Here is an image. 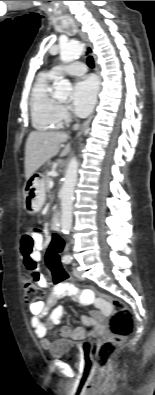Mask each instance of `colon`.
Returning <instances> with one entry per match:
<instances>
[{"label": "colon", "mask_w": 155, "mask_h": 395, "mask_svg": "<svg viewBox=\"0 0 155 395\" xmlns=\"http://www.w3.org/2000/svg\"><path fill=\"white\" fill-rule=\"evenodd\" d=\"M52 244H47L43 261L46 262L50 278H54V286L63 288L64 283H73L72 273L64 272V267L60 262V251L64 250L66 238H61L60 234H51ZM30 262V261H29ZM25 300L32 304L40 301L44 296L43 288L37 279L29 274L23 280ZM113 304V313L110 315L111 336L100 341L95 349L94 355L98 366L102 369L107 368L118 347L123 340L131 333L133 326V314L130 309L120 300L109 296H103Z\"/></svg>", "instance_id": "5ec220e1"}]
</instances>
